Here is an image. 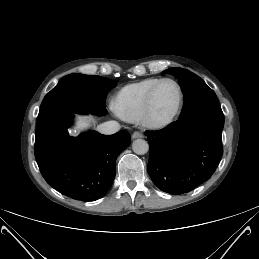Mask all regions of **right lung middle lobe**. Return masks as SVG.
<instances>
[{
  "label": "right lung middle lobe",
  "instance_id": "obj_1",
  "mask_svg": "<svg viewBox=\"0 0 259 259\" xmlns=\"http://www.w3.org/2000/svg\"><path fill=\"white\" fill-rule=\"evenodd\" d=\"M116 82L96 75L69 74L44 97L38 121L58 112L106 115L105 98Z\"/></svg>",
  "mask_w": 259,
  "mask_h": 259
}]
</instances>
